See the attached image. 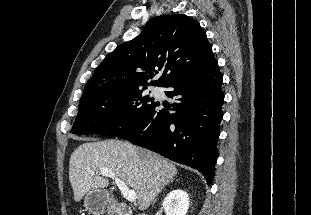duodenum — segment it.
<instances>
[{
  "instance_id": "1",
  "label": "duodenum",
  "mask_w": 311,
  "mask_h": 215,
  "mask_svg": "<svg viewBox=\"0 0 311 215\" xmlns=\"http://www.w3.org/2000/svg\"><path fill=\"white\" fill-rule=\"evenodd\" d=\"M114 215H133L132 210L125 204H118L114 209ZM146 215V214H138Z\"/></svg>"
}]
</instances>
